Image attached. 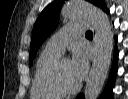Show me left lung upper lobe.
Wrapping results in <instances>:
<instances>
[{
    "label": "left lung upper lobe",
    "mask_w": 128,
    "mask_h": 99,
    "mask_svg": "<svg viewBox=\"0 0 128 99\" xmlns=\"http://www.w3.org/2000/svg\"><path fill=\"white\" fill-rule=\"evenodd\" d=\"M96 6H99L103 0H90ZM63 5V0H56L49 4L39 15L32 33L30 44V65L37 53L38 48L44 40L53 32L59 20V12Z\"/></svg>",
    "instance_id": "5c2ea615"
}]
</instances>
